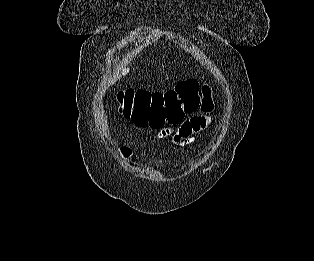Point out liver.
Instances as JSON below:
<instances>
[{"instance_id":"1","label":"liver","mask_w":314,"mask_h":261,"mask_svg":"<svg viewBox=\"0 0 314 261\" xmlns=\"http://www.w3.org/2000/svg\"><path fill=\"white\" fill-rule=\"evenodd\" d=\"M129 72V68L122 69V75H126Z\"/></svg>"}]
</instances>
